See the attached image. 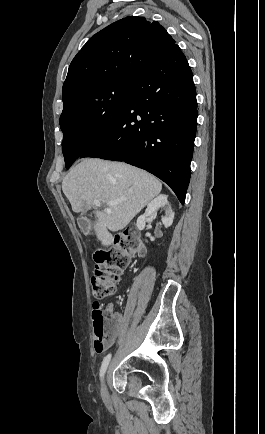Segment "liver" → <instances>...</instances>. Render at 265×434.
Wrapping results in <instances>:
<instances>
[{"instance_id": "obj_1", "label": "liver", "mask_w": 265, "mask_h": 434, "mask_svg": "<svg viewBox=\"0 0 265 434\" xmlns=\"http://www.w3.org/2000/svg\"><path fill=\"white\" fill-rule=\"evenodd\" d=\"M62 190L73 212L82 214L93 208L94 200L107 204L126 198V202L109 206L106 212L94 208L98 218L94 226L95 234L103 246H112L110 232L126 228L134 216L160 194L162 184L155 176L128 164L84 158L65 176Z\"/></svg>"}]
</instances>
